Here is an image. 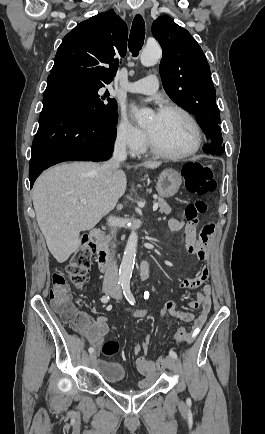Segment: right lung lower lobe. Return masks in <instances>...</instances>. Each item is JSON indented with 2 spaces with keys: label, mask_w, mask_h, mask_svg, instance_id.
Here are the masks:
<instances>
[{
  "label": "right lung lower lobe",
  "mask_w": 265,
  "mask_h": 434,
  "mask_svg": "<svg viewBox=\"0 0 265 434\" xmlns=\"http://www.w3.org/2000/svg\"><path fill=\"white\" fill-rule=\"evenodd\" d=\"M115 137V127L92 123L63 101L44 100L32 143L31 188L42 171L57 163L108 159Z\"/></svg>",
  "instance_id": "98d812e1"
}]
</instances>
